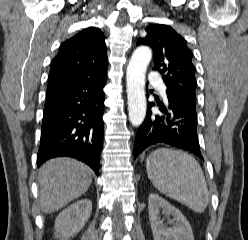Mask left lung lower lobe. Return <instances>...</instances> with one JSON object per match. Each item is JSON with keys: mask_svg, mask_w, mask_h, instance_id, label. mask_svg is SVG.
Instances as JSON below:
<instances>
[{"mask_svg": "<svg viewBox=\"0 0 248 240\" xmlns=\"http://www.w3.org/2000/svg\"><path fill=\"white\" fill-rule=\"evenodd\" d=\"M162 114H153L148 103L146 118L139 127L134 144L136 158L148 146L165 143L187 150L203 159L197 135L196 106L181 104L168 98L166 105L158 103Z\"/></svg>", "mask_w": 248, "mask_h": 240, "instance_id": "obj_1", "label": "left lung lower lobe"}]
</instances>
